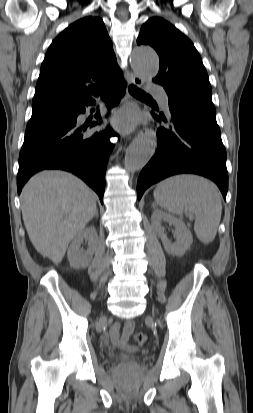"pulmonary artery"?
<instances>
[{
    "mask_svg": "<svg viewBox=\"0 0 253 413\" xmlns=\"http://www.w3.org/2000/svg\"><path fill=\"white\" fill-rule=\"evenodd\" d=\"M148 92H150L151 94H154L158 97L161 106L168 111L169 109V100H168V96L166 94V92L159 86L157 85H149L147 87Z\"/></svg>",
    "mask_w": 253,
    "mask_h": 413,
    "instance_id": "pulmonary-artery-1",
    "label": "pulmonary artery"
}]
</instances>
